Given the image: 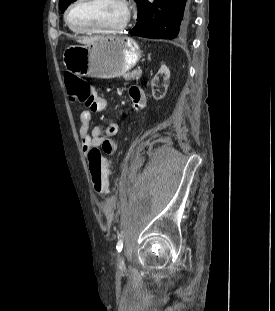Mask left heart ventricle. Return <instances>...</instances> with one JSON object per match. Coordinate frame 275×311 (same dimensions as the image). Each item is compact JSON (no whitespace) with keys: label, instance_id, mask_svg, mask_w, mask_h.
<instances>
[{"label":"left heart ventricle","instance_id":"obj_1","mask_svg":"<svg viewBox=\"0 0 275 311\" xmlns=\"http://www.w3.org/2000/svg\"><path fill=\"white\" fill-rule=\"evenodd\" d=\"M125 9L119 0H82L70 12V23L75 27L104 29L120 25Z\"/></svg>","mask_w":275,"mask_h":311}]
</instances>
